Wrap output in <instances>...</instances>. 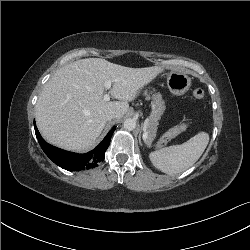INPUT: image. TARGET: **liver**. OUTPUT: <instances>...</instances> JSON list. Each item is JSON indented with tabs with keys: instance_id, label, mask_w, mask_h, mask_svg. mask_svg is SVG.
<instances>
[{
	"instance_id": "6515ba94",
	"label": "liver",
	"mask_w": 250,
	"mask_h": 250,
	"mask_svg": "<svg viewBox=\"0 0 250 250\" xmlns=\"http://www.w3.org/2000/svg\"><path fill=\"white\" fill-rule=\"evenodd\" d=\"M158 66L129 68L105 59L77 60L60 68L45 84L36 103L37 127L49 143L69 151L93 147L110 111L122 118L129 101L162 73ZM113 85L110 94L119 101H105L104 82Z\"/></svg>"
}]
</instances>
